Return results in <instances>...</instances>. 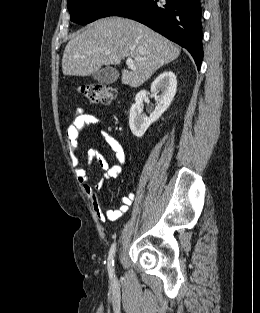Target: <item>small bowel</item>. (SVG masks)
<instances>
[{"label": "small bowel", "instance_id": "c3829d8e", "mask_svg": "<svg viewBox=\"0 0 260 313\" xmlns=\"http://www.w3.org/2000/svg\"><path fill=\"white\" fill-rule=\"evenodd\" d=\"M90 126H103V121L95 115L86 113L83 108H77L72 113L71 123L65 130L64 140L70 155L72 166L75 170V175L91 202L95 215L101 222L106 223L115 221L126 213L135 198V194L129 193L123 196L121 198V204L116 209L102 207L97 194L98 190L101 188V183L92 185L89 182L87 170L82 165L78 155V136L84 128ZM101 135L114 152L118 163L110 165L102 156L94 151L88 153V158L98 159L100 166L104 170L103 179H116L122 174L126 163L125 148L123 144L113 137L106 129L102 128Z\"/></svg>", "mask_w": 260, "mask_h": 313}]
</instances>
